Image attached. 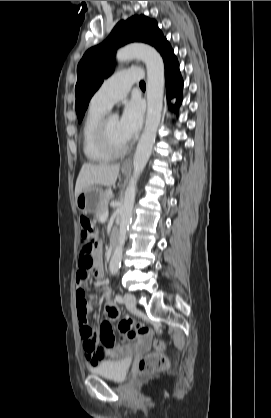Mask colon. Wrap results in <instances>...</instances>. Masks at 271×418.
Wrapping results in <instances>:
<instances>
[{"label": "colon", "mask_w": 271, "mask_h": 418, "mask_svg": "<svg viewBox=\"0 0 271 418\" xmlns=\"http://www.w3.org/2000/svg\"><path fill=\"white\" fill-rule=\"evenodd\" d=\"M79 227L82 247H86L87 243H94L96 238V230L91 220L87 217H81L79 220ZM133 326H135L134 330H132ZM118 328L120 332L126 333V336L123 338L125 341L136 337H146L150 333L148 327L141 324H135L131 318L122 320L119 323ZM156 347L160 350L162 348V344L157 342ZM167 366L168 359L159 351L142 358L138 363V369L140 372L156 371L164 369Z\"/></svg>", "instance_id": "colon-1"}]
</instances>
